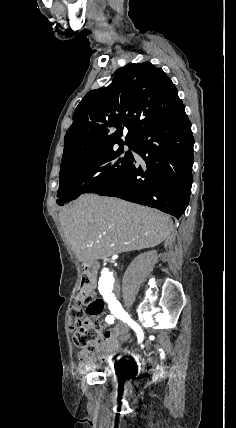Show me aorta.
Returning a JSON list of instances; mask_svg holds the SVG:
<instances>
[{"mask_svg":"<svg viewBox=\"0 0 236 428\" xmlns=\"http://www.w3.org/2000/svg\"><path fill=\"white\" fill-rule=\"evenodd\" d=\"M117 286V279L113 273V270L109 268H103L101 276L99 278V288L103 293H113Z\"/></svg>","mask_w":236,"mask_h":428,"instance_id":"obj_1","label":"aorta"}]
</instances>
